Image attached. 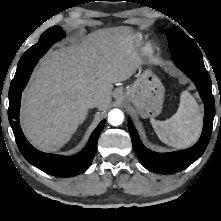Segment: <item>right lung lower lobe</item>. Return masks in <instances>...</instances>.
<instances>
[{
  "label": "right lung lower lobe",
  "mask_w": 221,
  "mask_h": 221,
  "mask_svg": "<svg viewBox=\"0 0 221 221\" xmlns=\"http://www.w3.org/2000/svg\"><path fill=\"white\" fill-rule=\"evenodd\" d=\"M39 56H25L23 55L19 63L27 66V75L22 83L19 84L17 93L9 97L8 117L10 125L13 129L17 146L23 157L32 165L40 170L54 176L72 177L84 172L91 164L95 152L97 150V142L101 131L103 130L105 121H101L98 127L93 131L86 147L74 156H61L54 154H47L35 149L25 138L21 127L19 125V110L21 92L26 86L28 79L32 73L33 68L38 62Z\"/></svg>",
  "instance_id": "98d812e1"
}]
</instances>
